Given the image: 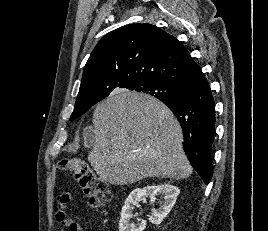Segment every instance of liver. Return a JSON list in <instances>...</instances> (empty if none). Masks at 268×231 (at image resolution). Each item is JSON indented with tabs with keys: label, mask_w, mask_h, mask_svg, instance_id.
<instances>
[{
	"label": "liver",
	"mask_w": 268,
	"mask_h": 231,
	"mask_svg": "<svg viewBox=\"0 0 268 231\" xmlns=\"http://www.w3.org/2000/svg\"><path fill=\"white\" fill-rule=\"evenodd\" d=\"M172 111L143 93L118 90L93 114L88 161L104 182L132 184L148 177L184 179L193 169Z\"/></svg>",
	"instance_id": "liver-1"
}]
</instances>
